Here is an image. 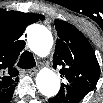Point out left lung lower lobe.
<instances>
[{
  "instance_id": "left-lung-lower-lobe-1",
  "label": "left lung lower lobe",
  "mask_w": 103,
  "mask_h": 103,
  "mask_svg": "<svg viewBox=\"0 0 103 103\" xmlns=\"http://www.w3.org/2000/svg\"><path fill=\"white\" fill-rule=\"evenodd\" d=\"M86 94L87 93L80 88H68L66 90V96L68 97L67 103H79ZM53 100L54 98H51L49 99V102L53 103Z\"/></svg>"
}]
</instances>
